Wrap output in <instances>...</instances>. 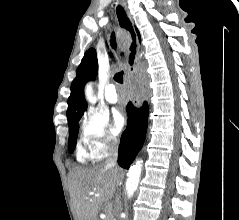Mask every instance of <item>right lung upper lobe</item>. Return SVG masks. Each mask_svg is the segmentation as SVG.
Wrapping results in <instances>:
<instances>
[{
    "label": "right lung upper lobe",
    "mask_w": 239,
    "mask_h": 220,
    "mask_svg": "<svg viewBox=\"0 0 239 220\" xmlns=\"http://www.w3.org/2000/svg\"><path fill=\"white\" fill-rule=\"evenodd\" d=\"M138 38L140 34L136 28ZM98 71V62L95 49H89L82 58L77 69L76 78L71 84V94L68 99L67 118L68 123L79 118L87 109V103L84 97V85L88 80H93Z\"/></svg>",
    "instance_id": "right-lung-upper-lobe-1"
}]
</instances>
